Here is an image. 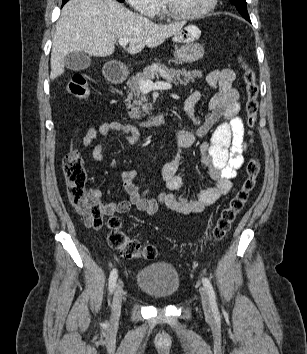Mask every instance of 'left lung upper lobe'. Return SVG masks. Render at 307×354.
<instances>
[{
	"mask_svg": "<svg viewBox=\"0 0 307 354\" xmlns=\"http://www.w3.org/2000/svg\"><path fill=\"white\" fill-rule=\"evenodd\" d=\"M238 9V11L240 12V14L247 19L248 21H250L248 12H247V3L245 0H230Z\"/></svg>",
	"mask_w": 307,
	"mask_h": 354,
	"instance_id": "5c2ea615",
	"label": "left lung upper lobe"
}]
</instances>
